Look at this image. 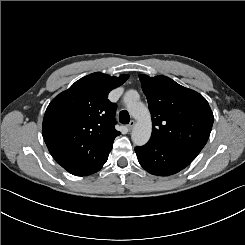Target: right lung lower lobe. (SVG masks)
Listing matches in <instances>:
<instances>
[{
    "label": "right lung lower lobe",
    "mask_w": 245,
    "mask_h": 245,
    "mask_svg": "<svg viewBox=\"0 0 245 245\" xmlns=\"http://www.w3.org/2000/svg\"><path fill=\"white\" fill-rule=\"evenodd\" d=\"M106 161H107V159H106ZM106 161H105V162H106ZM105 162H104V163H105ZM104 163H102V164L97 168V170H96L95 172H97L98 170H100V169L102 168V166L104 165ZM95 172H93V173H95Z\"/></svg>",
    "instance_id": "98d812e1"
}]
</instances>
